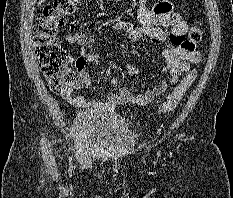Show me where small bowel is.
Here are the masks:
<instances>
[{
  "instance_id": "c3829d8e",
  "label": "small bowel",
  "mask_w": 233,
  "mask_h": 198,
  "mask_svg": "<svg viewBox=\"0 0 233 198\" xmlns=\"http://www.w3.org/2000/svg\"><path fill=\"white\" fill-rule=\"evenodd\" d=\"M139 25L130 22L120 21L114 24V29L123 31L132 41L146 40L151 43H162L165 48L162 55L165 59V66L161 72L171 76V83L176 84L181 73L189 66V61L194 62L200 59V54L194 48L185 46L186 35L189 31L187 23L182 16L175 12L173 6L168 1L157 3L152 10L146 5V0H139L138 10ZM164 27H170L166 31ZM87 50H90L94 44V38L86 37L83 43ZM99 55L93 52H83L77 59L81 64H77L78 78L74 87L86 86L91 89V78L87 62H96ZM124 67L130 76H137L139 70L128 63ZM110 83L117 85L120 83L118 78L110 79ZM168 89L165 81H160L150 89L133 94L129 89L122 85L119 94H106L105 102L88 100L84 97H74L70 91L62 93V97L67 100L73 107L81 110H97L111 112L120 105H144L152 102L161 96Z\"/></svg>"
}]
</instances>
